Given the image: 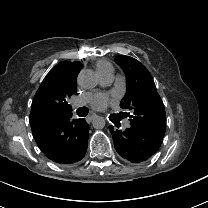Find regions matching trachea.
Listing matches in <instances>:
<instances>
[{
	"label": "trachea",
	"instance_id": "1",
	"mask_svg": "<svg viewBox=\"0 0 208 208\" xmlns=\"http://www.w3.org/2000/svg\"><path fill=\"white\" fill-rule=\"evenodd\" d=\"M77 114H78V116H80V117H85V116H86V114L84 113V108H79V109L77 110Z\"/></svg>",
	"mask_w": 208,
	"mask_h": 208
}]
</instances>
